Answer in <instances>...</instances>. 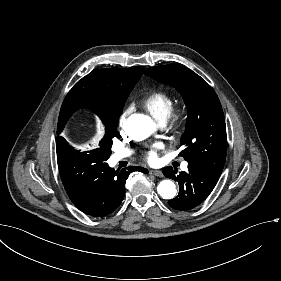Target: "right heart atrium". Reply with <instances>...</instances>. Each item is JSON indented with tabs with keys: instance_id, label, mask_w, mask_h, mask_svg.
I'll use <instances>...</instances> for the list:
<instances>
[{
	"instance_id": "obj_1",
	"label": "right heart atrium",
	"mask_w": 281,
	"mask_h": 281,
	"mask_svg": "<svg viewBox=\"0 0 281 281\" xmlns=\"http://www.w3.org/2000/svg\"><path fill=\"white\" fill-rule=\"evenodd\" d=\"M128 119L129 118H122L119 116V128L133 140L143 139V128L141 124L138 122H129Z\"/></svg>"
}]
</instances>
